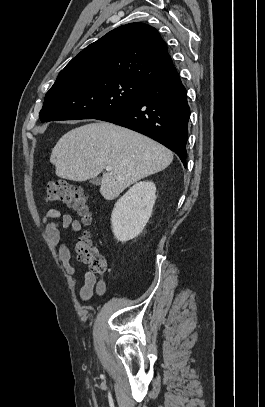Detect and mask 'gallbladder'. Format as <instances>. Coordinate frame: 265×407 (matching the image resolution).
I'll use <instances>...</instances> for the list:
<instances>
[{
	"instance_id": "obj_1",
	"label": "gallbladder",
	"mask_w": 265,
	"mask_h": 407,
	"mask_svg": "<svg viewBox=\"0 0 265 407\" xmlns=\"http://www.w3.org/2000/svg\"><path fill=\"white\" fill-rule=\"evenodd\" d=\"M100 182H101L100 178H94V179L91 180V183L94 184V185H99Z\"/></svg>"
}]
</instances>
